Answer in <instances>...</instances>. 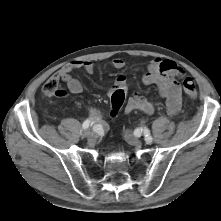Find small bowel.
<instances>
[{"mask_svg":"<svg viewBox=\"0 0 221 221\" xmlns=\"http://www.w3.org/2000/svg\"><path fill=\"white\" fill-rule=\"evenodd\" d=\"M111 64L117 70L123 69L125 66V62L121 58L113 59ZM77 69L93 74L95 72V64L90 60H76L62 67L53 75L59 81L64 82L68 90L73 94L83 91L82 83L71 75ZM182 76H184V71L175 62L155 58L149 62L147 72L142 78L145 85L157 87L160 96L166 101V109L170 115L178 114L181 109L183 95L181 86L176 78H182ZM116 88H123L127 92L128 85L124 75L121 74L115 78L113 86L108 90V94L111 95ZM154 110V103L139 93L132 94L125 105L127 113L141 111L145 114H152Z\"/></svg>","mask_w":221,"mask_h":221,"instance_id":"c3829d8e","label":"small bowel"}]
</instances>
